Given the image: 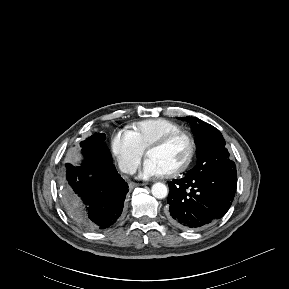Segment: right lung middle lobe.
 <instances>
[{"label": "right lung middle lobe", "mask_w": 289, "mask_h": 289, "mask_svg": "<svg viewBox=\"0 0 289 289\" xmlns=\"http://www.w3.org/2000/svg\"><path fill=\"white\" fill-rule=\"evenodd\" d=\"M106 135L104 133H94L92 136L81 142L83 153L100 154L104 157L111 159V154L105 143ZM71 165L66 164V174Z\"/></svg>", "instance_id": "obj_1"}]
</instances>
